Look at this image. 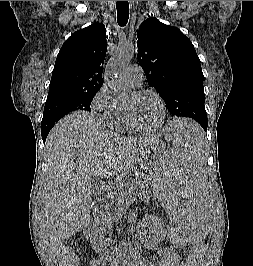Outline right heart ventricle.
Listing matches in <instances>:
<instances>
[{
    "label": "right heart ventricle",
    "mask_w": 253,
    "mask_h": 266,
    "mask_svg": "<svg viewBox=\"0 0 253 266\" xmlns=\"http://www.w3.org/2000/svg\"><path fill=\"white\" fill-rule=\"evenodd\" d=\"M111 126L120 132H132L133 129L130 127L128 118L125 112L124 106L119 104V110L111 123Z\"/></svg>",
    "instance_id": "1"
}]
</instances>
